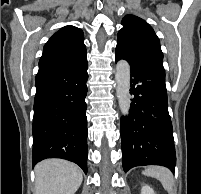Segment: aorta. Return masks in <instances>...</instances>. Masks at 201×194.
<instances>
[{"label": "aorta", "mask_w": 201, "mask_h": 194, "mask_svg": "<svg viewBox=\"0 0 201 194\" xmlns=\"http://www.w3.org/2000/svg\"><path fill=\"white\" fill-rule=\"evenodd\" d=\"M116 95L121 113L128 116L130 109V66L126 60L118 61L115 73Z\"/></svg>", "instance_id": "aorta-1"}]
</instances>
